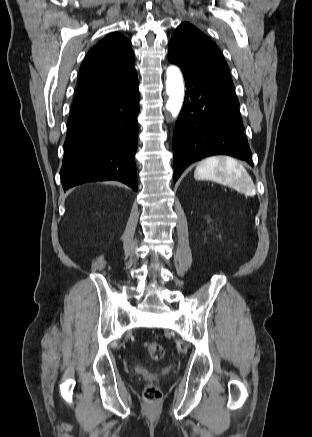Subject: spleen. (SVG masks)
<instances>
[{
    "label": "spleen",
    "instance_id": "3e777b00",
    "mask_svg": "<svg viewBox=\"0 0 312 437\" xmlns=\"http://www.w3.org/2000/svg\"><path fill=\"white\" fill-rule=\"evenodd\" d=\"M194 177L197 180H212L232 186L247 196L256 192L255 185L243 165L229 156L206 158L196 167Z\"/></svg>",
    "mask_w": 312,
    "mask_h": 437
}]
</instances>
